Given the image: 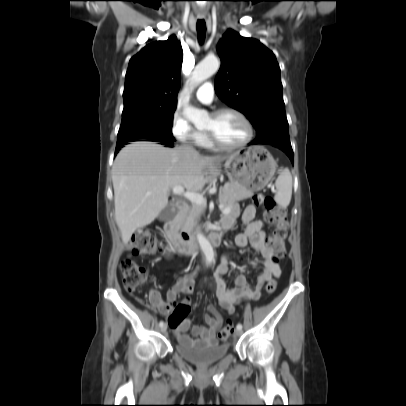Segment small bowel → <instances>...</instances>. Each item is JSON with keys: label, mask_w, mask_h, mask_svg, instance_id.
<instances>
[{"label": "small bowel", "mask_w": 406, "mask_h": 406, "mask_svg": "<svg viewBox=\"0 0 406 406\" xmlns=\"http://www.w3.org/2000/svg\"><path fill=\"white\" fill-rule=\"evenodd\" d=\"M257 209L255 206H248L242 214V222L245 226L244 231L235 237V244L238 247L246 248L251 246L260 255L257 259H250L248 263L251 265L262 264L263 271L257 276L256 282L252 285L245 275H239L235 279V287H229L226 277L230 272V263L232 255L227 254L222 258L221 264L213 278V281L207 283L216 294L221 307L228 313L232 314L235 307L244 299L258 300L261 296L264 285L271 279L281 275L279 266L273 262V251L265 242V232L263 231V222L254 220ZM239 216V209L233 206L228 213L223 217L221 222H229L232 225ZM194 290V283L190 276H181L177 278L175 285L168 291L167 300L164 301L158 291L152 290L149 293L150 303L154 308L162 314L170 316L173 314V309L176 305L177 296L179 294L190 295ZM191 300L183 299L180 305L190 308ZM210 314L204 317L206 327L194 326L192 333L196 340L191 339L187 334L191 322L186 317L177 325H171L179 342L188 346H211L216 345V333L223 323L222 316L209 306Z\"/></svg>", "instance_id": "obj_1"}]
</instances>
